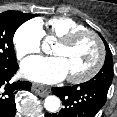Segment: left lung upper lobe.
<instances>
[{
    "label": "left lung upper lobe",
    "mask_w": 117,
    "mask_h": 117,
    "mask_svg": "<svg viewBox=\"0 0 117 117\" xmlns=\"http://www.w3.org/2000/svg\"><path fill=\"white\" fill-rule=\"evenodd\" d=\"M100 37L102 38V40L105 44V48H106L105 63H104V66L102 67V69L99 71V73L94 78L87 81L86 83L108 91V89L111 85V82H112V78H113L112 53H111L106 41L104 40V38L101 35H100Z\"/></svg>",
    "instance_id": "1"
}]
</instances>
